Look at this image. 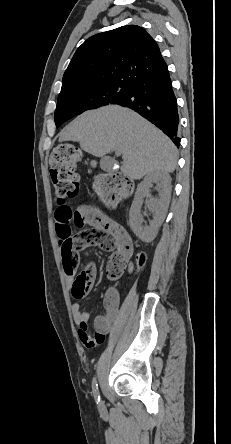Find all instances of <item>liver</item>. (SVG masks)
I'll return each instance as SVG.
<instances>
[{
  "label": "liver",
  "instance_id": "1",
  "mask_svg": "<svg viewBox=\"0 0 231 444\" xmlns=\"http://www.w3.org/2000/svg\"><path fill=\"white\" fill-rule=\"evenodd\" d=\"M63 141L79 142L84 151L101 158L119 152L121 172L131 179L173 172L177 165L173 142L139 114L118 105L82 113L60 132Z\"/></svg>",
  "mask_w": 231,
  "mask_h": 444
}]
</instances>
